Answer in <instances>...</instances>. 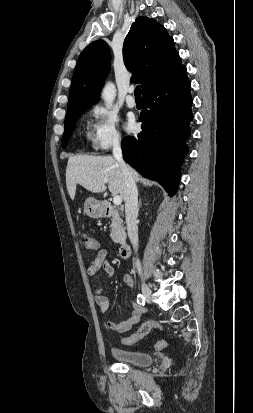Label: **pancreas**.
<instances>
[{
	"label": "pancreas",
	"mask_w": 253,
	"mask_h": 413,
	"mask_svg": "<svg viewBox=\"0 0 253 413\" xmlns=\"http://www.w3.org/2000/svg\"><path fill=\"white\" fill-rule=\"evenodd\" d=\"M112 240L115 243H123L125 241V229L120 216L115 213L111 219V234Z\"/></svg>",
	"instance_id": "1"
}]
</instances>
